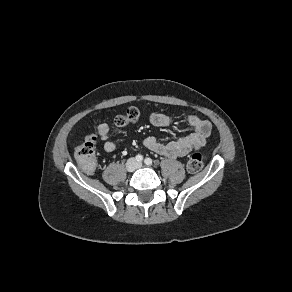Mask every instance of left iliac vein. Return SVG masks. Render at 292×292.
Instances as JSON below:
<instances>
[{
	"label": "left iliac vein",
	"instance_id": "left-iliac-vein-1",
	"mask_svg": "<svg viewBox=\"0 0 292 292\" xmlns=\"http://www.w3.org/2000/svg\"><path fill=\"white\" fill-rule=\"evenodd\" d=\"M137 166L140 168V167L143 166V164L142 163H138Z\"/></svg>",
	"mask_w": 292,
	"mask_h": 292
}]
</instances>
